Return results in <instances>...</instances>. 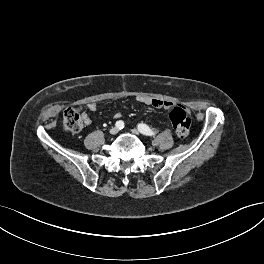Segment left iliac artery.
Instances as JSON below:
<instances>
[{"instance_id": "left-iliac-artery-1", "label": "left iliac artery", "mask_w": 264, "mask_h": 264, "mask_svg": "<svg viewBox=\"0 0 264 264\" xmlns=\"http://www.w3.org/2000/svg\"><path fill=\"white\" fill-rule=\"evenodd\" d=\"M138 129H139V131H140L142 134H144V135H146V134H150V136H154V135H156V132L153 131V130H152L148 125H146V124H143V123L139 124V125H138Z\"/></svg>"}]
</instances>
